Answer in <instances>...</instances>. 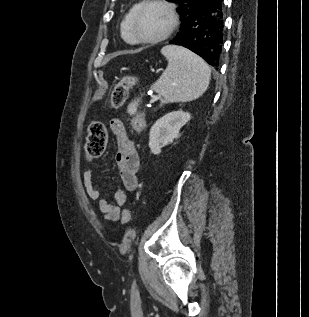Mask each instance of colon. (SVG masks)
Here are the masks:
<instances>
[{
	"mask_svg": "<svg viewBox=\"0 0 309 317\" xmlns=\"http://www.w3.org/2000/svg\"><path fill=\"white\" fill-rule=\"evenodd\" d=\"M137 85V79L132 75L124 76L114 87L110 103L114 108L122 106L129 94L130 89ZM135 127L141 129L144 125L143 112L139 111L135 118ZM107 130L105 125L100 121H93L88 127V135L85 144L86 157L89 160L100 157L106 148ZM123 221L129 223L131 221V212L129 209L123 211Z\"/></svg>",
	"mask_w": 309,
	"mask_h": 317,
	"instance_id": "1",
	"label": "colon"
}]
</instances>
